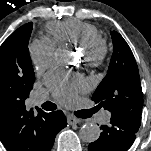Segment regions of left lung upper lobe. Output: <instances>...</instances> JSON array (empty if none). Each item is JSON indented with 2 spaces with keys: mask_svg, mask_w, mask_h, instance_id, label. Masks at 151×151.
<instances>
[{
  "mask_svg": "<svg viewBox=\"0 0 151 151\" xmlns=\"http://www.w3.org/2000/svg\"><path fill=\"white\" fill-rule=\"evenodd\" d=\"M113 54L108 72L92 100L111 112V119L137 132L141 122L142 88L133 53L123 37L111 32Z\"/></svg>",
  "mask_w": 151,
  "mask_h": 151,
  "instance_id": "1",
  "label": "left lung upper lobe"
}]
</instances>
